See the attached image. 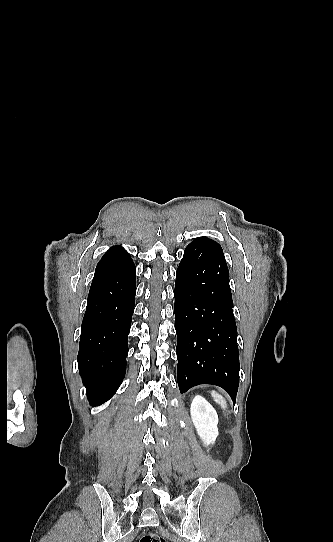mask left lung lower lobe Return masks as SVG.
I'll list each match as a JSON object with an SVG mask.
<instances>
[{
	"instance_id": "left-lung-lower-lobe-1",
	"label": "left lung lower lobe",
	"mask_w": 333,
	"mask_h": 542,
	"mask_svg": "<svg viewBox=\"0 0 333 542\" xmlns=\"http://www.w3.org/2000/svg\"><path fill=\"white\" fill-rule=\"evenodd\" d=\"M174 296L180 392L213 384L235 402L240 370L237 328L229 271L219 244L200 237L186 247Z\"/></svg>"
}]
</instances>
